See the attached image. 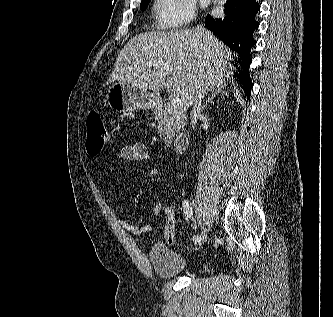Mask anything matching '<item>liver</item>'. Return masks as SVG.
<instances>
[{"instance_id":"liver-1","label":"liver","mask_w":333,"mask_h":317,"mask_svg":"<svg viewBox=\"0 0 333 317\" xmlns=\"http://www.w3.org/2000/svg\"><path fill=\"white\" fill-rule=\"evenodd\" d=\"M231 56V50L209 31L140 33L118 53L109 82L127 80L152 91L166 88L189 108L201 83L207 84V91L226 86L225 78L234 71Z\"/></svg>"}]
</instances>
